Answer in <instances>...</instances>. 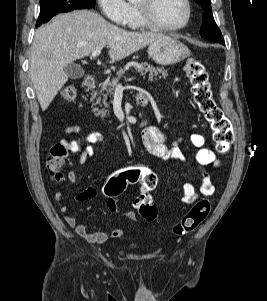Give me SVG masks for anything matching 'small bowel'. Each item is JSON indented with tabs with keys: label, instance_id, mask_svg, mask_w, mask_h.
<instances>
[{
	"label": "small bowel",
	"instance_id": "c3829d8e",
	"mask_svg": "<svg viewBox=\"0 0 267 301\" xmlns=\"http://www.w3.org/2000/svg\"><path fill=\"white\" fill-rule=\"evenodd\" d=\"M64 133L67 135H79L81 126L73 124L64 128ZM103 136L99 132H90L82 140H61V144L73 153H79V164L83 165L94 154V146L101 144ZM142 145L147 152L165 160H178L185 162L187 157L180 148V140L168 142L166 133L155 126H146L141 132ZM188 144L194 148V165L200 172L201 182L197 189L191 182H186L183 185L182 201L190 204L198 199L200 195L211 196L215 192V186L206 169L208 165H214L216 168L221 166V162L217 159L215 153L210 148L206 147V139L200 133L193 134ZM67 178L70 182H76L77 178L73 171L68 172ZM98 195V189L95 187L87 188L75 196V201L83 202L95 198ZM55 201L64 216L66 223L73 228L76 233L89 243L102 244L111 238H117L123 235V231L115 229L110 232L97 231L91 232L84 225L79 224L71 215L68 208L61 202V193L56 192L54 195ZM122 199V198H121ZM120 199V200H121ZM118 200L109 210L118 212ZM124 217L130 220H136V215L133 211L121 213Z\"/></svg>",
	"mask_w": 267,
	"mask_h": 301
}]
</instances>
